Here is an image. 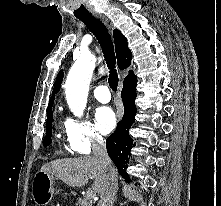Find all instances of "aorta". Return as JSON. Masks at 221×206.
<instances>
[{
    "instance_id": "1",
    "label": "aorta",
    "mask_w": 221,
    "mask_h": 206,
    "mask_svg": "<svg viewBox=\"0 0 221 206\" xmlns=\"http://www.w3.org/2000/svg\"><path fill=\"white\" fill-rule=\"evenodd\" d=\"M95 56L83 53L71 67L65 83L66 100L75 116L81 117L87 103L89 84L95 69Z\"/></svg>"
}]
</instances>
